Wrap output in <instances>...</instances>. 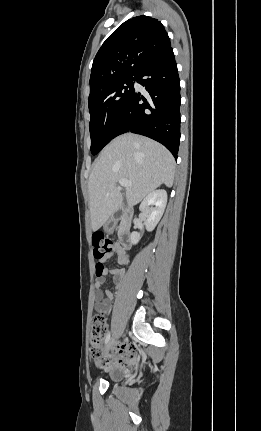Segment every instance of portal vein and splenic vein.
<instances>
[{
  "label": "portal vein and splenic vein",
  "mask_w": 261,
  "mask_h": 431,
  "mask_svg": "<svg viewBox=\"0 0 261 431\" xmlns=\"http://www.w3.org/2000/svg\"><path fill=\"white\" fill-rule=\"evenodd\" d=\"M119 184L125 188H128L131 186V182H129L127 179H120Z\"/></svg>",
  "instance_id": "obj_1"
}]
</instances>
